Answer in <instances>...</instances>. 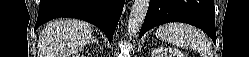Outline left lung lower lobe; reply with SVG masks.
<instances>
[{"instance_id":"obj_1","label":"left lung lower lobe","mask_w":249,"mask_h":57,"mask_svg":"<svg viewBox=\"0 0 249 57\" xmlns=\"http://www.w3.org/2000/svg\"><path fill=\"white\" fill-rule=\"evenodd\" d=\"M167 22H184L206 32L216 44L214 0H150L139 38Z\"/></svg>"}]
</instances>
